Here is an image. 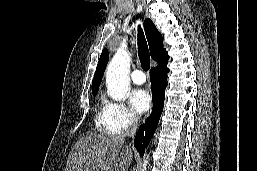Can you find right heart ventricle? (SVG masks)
<instances>
[{"mask_svg": "<svg viewBox=\"0 0 257 171\" xmlns=\"http://www.w3.org/2000/svg\"><path fill=\"white\" fill-rule=\"evenodd\" d=\"M95 124H96L97 130L102 133H107V134L118 133L111 126V124L107 118L104 105H100L97 110Z\"/></svg>", "mask_w": 257, "mask_h": 171, "instance_id": "right-heart-ventricle-1", "label": "right heart ventricle"}]
</instances>
